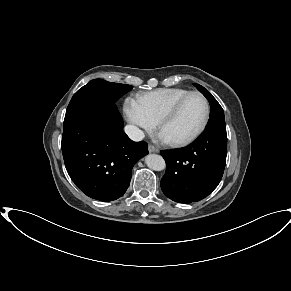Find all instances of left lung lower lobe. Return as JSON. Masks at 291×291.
Instances as JSON below:
<instances>
[{
    "instance_id": "obj_1",
    "label": "left lung lower lobe",
    "mask_w": 291,
    "mask_h": 291,
    "mask_svg": "<svg viewBox=\"0 0 291 291\" xmlns=\"http://www.w3.org/2000/svg\"><path fill=\"white\" fill-rule=\"evenodd\" d=\"M166 172L161 189L179 203H192L207 197L219 184L226 163V127L206 128L191 145L161 151Z\"/></svg>"
}]
</instances>
